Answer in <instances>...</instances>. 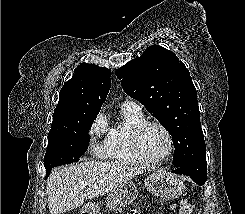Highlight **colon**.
<instances>
[{"mask_svg": "<svg viewBox=\"0 0 245 214\" xmlns=\"http://www.w3.org/2000/svg\"><path fill=\"white\" fill-rule=\"evenodd\" d=\"M178 209L181 214H192L194 211L193 205L185 199L180 201L178 204Z\"/></svg>", "mask_w": 245, "mask_h": 214, "instance_id": "obj_1", "label": "colon"}]
</instances>
